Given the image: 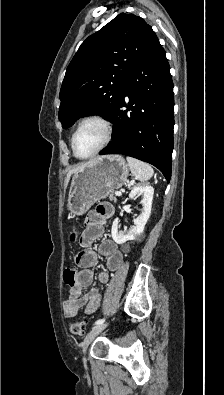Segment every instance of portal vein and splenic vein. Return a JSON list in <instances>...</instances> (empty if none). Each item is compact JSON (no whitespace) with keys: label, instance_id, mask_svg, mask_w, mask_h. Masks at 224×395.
Returning a JSON list of instances; mask_svg holds the SVG:
<instances>
[{"label":"portal vein and splenic vein","instance_id":"obj_1","mask_svg":"<svg viewBox=\"0 0 224 395\" xmlns=\"http://www.w3.org/2000/svg\"><path fill=\"white\" fill-rule=\"evenodd\" d=\"M115 195H116V196H121L122 193H121L120 191H116V192H115Z\"/></svg>","mask_w":224,"mask_h":395}]
</instances>
